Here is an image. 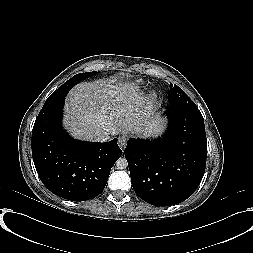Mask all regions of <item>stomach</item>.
<instances>
[{
	"mask_svg": "<svg viewBox=\"0 0 253 253\" xmlns=\"http://www.w3.org/2000/svg\"><path fill=\"white\" fill-rule=\"evenodd\" d=\"M163 129V123L162 122H155L153 125V134H158L162 131Z\"/></svg>",
	"mask_w": 253,
	"mask_h": 253,
	"instance_id": "obj_1",
	"label": "stomach"
}]
</instances>
